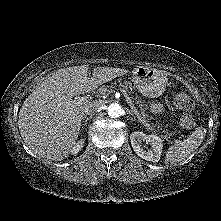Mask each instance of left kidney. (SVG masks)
I'll return each instance as SVG.
<instances>
[{"instance_id": "left-kidney-1", "label": "left kidney", "mask_w": 221, "mask_h": 221, "mask_svg": "<svg viewBox=\"0 0 221 221\" xmlns=\"http://www.w3.org/2000/svg\"><path fill=\"white\" fill-rule=\"evenodd\" d=\"M130 140L133 150L139 157L152 162L160 160L163 143L159 136L155 134L146 135L143 132L136 131L130 135ZM143 142L149 143L151 149L146 151L142 146Z\"/></svg>"}]
</instances>
